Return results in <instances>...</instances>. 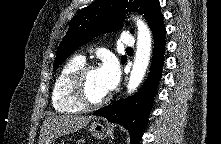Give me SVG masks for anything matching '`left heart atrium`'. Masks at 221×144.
Segmentation results:
<instances>
[{"label":"left heart atrium","mask_w":221,"mask_h":144,"mask_svg":"<svg viewBox=\"0 0 221 144\" xmlns=\"http://www.w3.org/2000/svg\"><path fill=\"white\" fill-rule=\"evenodd\" d=\"M98 71L101 83L107 92L117 86L120 79V68L114 57H106L102 65L98 68Z\"/></svg>","instance_id":"1"}]
</instances>
